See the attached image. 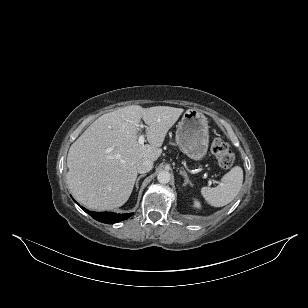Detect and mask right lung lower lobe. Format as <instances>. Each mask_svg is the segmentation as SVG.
I'll return each instance as SVG.
<instances>
[{
	"label": "right lung lower lobe",
	"mask_w": 308,
	"mask_h": 308,
	"mask_svg": "<svg viewBox=\"0 0 308 308\" xmlns=\"http://www.w3.org/2000/svg\"><path fill=\"white\" fill-rule=\"evenodd\" d=\"M78 204V203H77ZM85 212L91 215L95 220L102 222V223H116L122 220L129 218L133 213L129 214H116L111 212H92L88 211L84 207H81Z\"/></svg>",
	"instance_id": "98d812e1"
}]
</instances>
